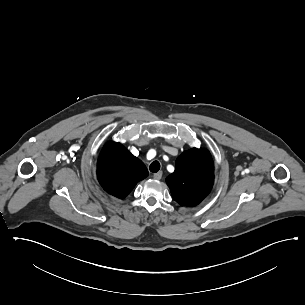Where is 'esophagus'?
I'll return each instance as SVG.
<instances>
[{
    "instance_id": "1",
    "label": "esophagus",
    "mask_w": 305,
    "mask_h": 305,
    "mask_svg": "<svg viewBox=\"0 0 305 305\" xmlns=\"http://www.w3.org/2000/svg\"><path fill=\"white\" fill-rule=\"evenodd\" d=\"M153 178H154L155 180H160V179L162 178V171H159L158 173H155V174L153 175Z\"/></svg>"
}]
</instances>
